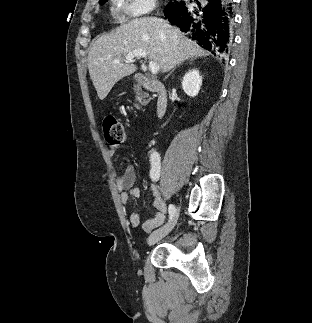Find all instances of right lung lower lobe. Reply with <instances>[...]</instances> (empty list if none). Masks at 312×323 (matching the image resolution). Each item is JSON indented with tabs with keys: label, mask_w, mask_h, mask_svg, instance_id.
I'll return each mask as SVG.
<instances>
[{
	"label": "right lung lower lobe",
	"mask_w": 312,
	"mask_h": 323,
	"mask_svg": "<svg viewBox=\"0 0 312 323\" xmlns=\"http://www.w3.org/2000/svg\"><path fill=\"white\" fill-rule=\"evenodd\" d=\"M234 4L231 0H190L187 5L167 7L164 15L198 45L220 56L228 53L232 42Z\"/></svg>",
	"instance_id": "1"
}]
</instances>
